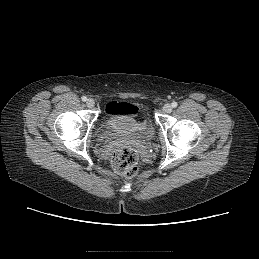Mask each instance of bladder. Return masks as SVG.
Segmentation results:
<instances>
[{"instance_id":"obj_1","label":"bladder","mask_w":259,"mask_h":259,"mask_svg":"<svg viewBox=\"0 0 259 259\" xmlns=\"http://www.w3.org/2000/svg\"><path fill=\"white\" fill-rule=\"evenodd\" d=\"M100 132L106 139H115L122 136L150 137L153 134V126L147 118L138 120L131 114L106 110Z\"/></svg>"}]
</instances>
